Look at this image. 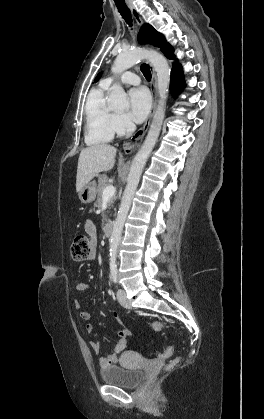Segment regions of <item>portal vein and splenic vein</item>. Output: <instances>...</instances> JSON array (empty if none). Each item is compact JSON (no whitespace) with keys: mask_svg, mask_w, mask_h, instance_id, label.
Returning <instances> with one entry per match:
<instances>
[{"mask_svg":"<svg viewBox=\"0 0 264 419\" xmlns=\"http://www.w3.org/2000/svg\"><path fill=\"white\" fill-rule=\"evenodd\" d=\"M116 189L113 185L107 186L103 191V198H111L114 196Z\"/></svg>","mask_w":264,"mask_h":419,"instance_id":"portal-vein-and-splenic-vein-1","label":"portal vein and splenic vein"}]
</instances>
